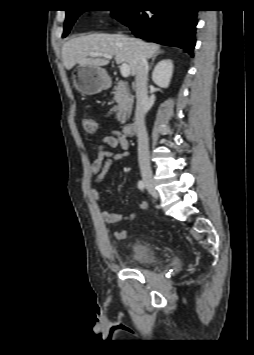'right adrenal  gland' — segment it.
<instances>
[{"instance_id": "2a0ac1e0", "label": "right adrenal gland", "mask_w": 254, "mask_h": 355, "mask_svg": "<svg viewBox=\"0 0 254 355\" xmlns=\"http://www.w3.org/2000/svg\"><path fill=\"white\" fill-rule=\"evenodd\" d=\"M162 53H163V52L159 51L158 53H156V54L153 56L152 61H151V65H150V67H149V71L151 70V67H152V65H153V63H154L156 57H157L159 54H162Z\"/></svg>"}]
</instances>
